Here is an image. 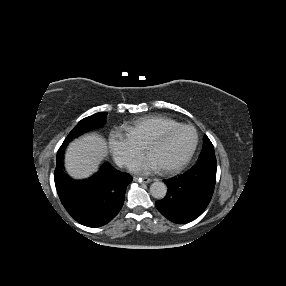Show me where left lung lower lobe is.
Wrapping results in <instances>:
<instances>
[{"label":"left lung lower lobe","mask_w":286,"mask_h":286,"mask_svg":"<svg viewBox=\"0 0 286 286\" xmlns=\"http://www.w3.org/2000/svg\"><path fill=\"white\" fill-rule=\"evenodd\" d=\"M216 158L198 161L187 172L164 180L166 196L155 202L159 212L176 223L199 217L209 204L216 182Z\"/></svg>","instance_id":"obj_1"}]
</instances>
